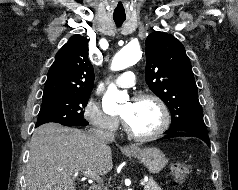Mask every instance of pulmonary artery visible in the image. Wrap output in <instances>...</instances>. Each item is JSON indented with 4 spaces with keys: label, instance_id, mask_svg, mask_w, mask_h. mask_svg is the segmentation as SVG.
Instances as JSON below:
<instances>
[{
    "label": "pulmonary artery",
    "instance_id": "e3ab8cb5",
    "mask_svg": "<svg viewBox=\"0 0 238 190\" xmlns=\"http://www.w3.org/2000/svg\"><path fill=\"white\" fill-rule=\"evenodd\" d=\"M117 86L121 88H128L135 84V74L132 71H126L121 74L116 80Z\"/></svg>",
    "mask_w": 238,
    "mask_h": 190
}]
</instances>
